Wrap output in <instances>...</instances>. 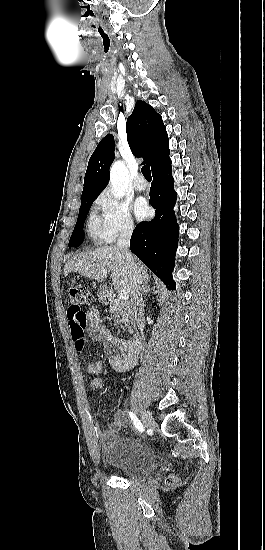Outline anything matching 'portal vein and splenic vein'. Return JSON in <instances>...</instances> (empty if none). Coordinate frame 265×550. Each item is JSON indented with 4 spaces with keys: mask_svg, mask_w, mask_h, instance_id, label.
Instances as JSON below:
<instances>
[{
    "mask_svg": "<svg viewBox=\"0 0 265 550\" xmlns=\"http://www.w3.org/2000/svg\"><path fill=\"white\" fill-rule=\"evenodd\" d=\"M119 299L122 301H127L129 299V294L125 291H120L118 293Z\"/></svg>",
    "mask_w": 265,
    "mask_h": 550,
    "instance_id": "portal-vein-and-splenic-vein-1",
    "label": "portal vein and splenic vein"
}]
</instances>
